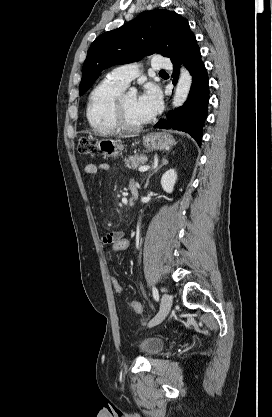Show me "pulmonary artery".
I'll list each match as a JSON object with an SVG mask.
<instances>
[{
    "label": "pulmonary artery",
    "instance_id": "1",
    "mask_svg": "<svg viewBox=\"0 0 272 417\" xmlns=\"http://www.w3.org/2000/svg\"><path fill=\"white\" fill-rule=\"evenodd\" d=\"M151 65L154 70H164L171 68L170 61L162 56H154ZM139 74L140 70L138 65L126 64L113 69L108 74V77L127 87L133 79L139 76Z\"/></svg>",
    "mask_w": 272,
    "mask_h": 417
}]
</instances>
